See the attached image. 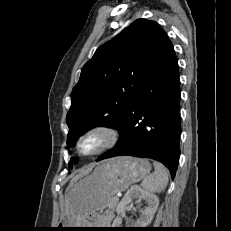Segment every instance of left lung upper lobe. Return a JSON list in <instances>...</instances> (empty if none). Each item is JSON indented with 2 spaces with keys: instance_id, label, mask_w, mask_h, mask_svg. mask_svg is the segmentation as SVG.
Returning <instances> with one entry per match:
<instances>
[{
  "instance_id": "1",
  "label": "left lung upper lobe",
  "mask_w": 231,
  "mask_h": 231,
  "mask_svg": "<svg viewBox=\"0 0 231 231\" xmlns=\"http://www.w3.org/2000/svg\"><path fill=\"white\" fill-rule=\"evenodd\" d=\"M166 38L158 23L138 19L97 48L71 93L67 145L93 127L117 128ZM76 162L71 158L69 168Z\"/></svg>"
}]
</instances>
